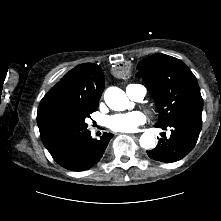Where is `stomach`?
<instances>
[{"label": "stomach", "instance_id": "obj_1", "mask_svg": "<svg viewBox=\"0 0 221 221\" xmlns=\"http://www.w3.org/2000/svg\"><path fill=\"white\" fill-rule=\"evenodd\" d=\"M136 64L132 60H121L113 68V75L117 79H124L129 75H132L136 71Z\"/></svg>", "mask_w": 221, "mask_h": 221}]
</instances>
